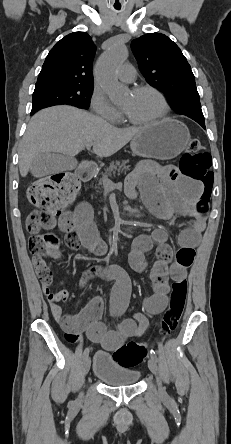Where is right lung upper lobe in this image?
Returning <instances> with one entry per match:
<instances>
[{
	"instance_id": "right-lung-upper-lobe-1",
	"label": "right lung upper lobe",
	"mask_w": 231,
	"mask_h": 444,
	"mask_svg": "<svg viewBox=\"0 0 231 444\" xmlns=\"http://www.w3.org/2000/svg\"><path fill=\"white\" fill-rule=\"evenodd\" d=\"M96 51L85 32L68 34L50 50L36 86L48 84L93 85L92 61Z\"/></svg>"
}]
</instances>
